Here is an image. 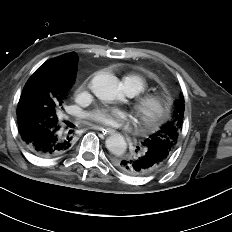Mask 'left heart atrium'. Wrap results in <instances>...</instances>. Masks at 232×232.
I'll return each instance as SVG.
<instances>
[{
  "instance_id": "obj_1",
  "label": "left heart atrium",
  "mask_w": 232,
  "mask_h": 232,
  "mask_svg": "<svg viewBox=\"0 0 232 232\" xmlns=\"http://www.w3.org/2000/svg\"><path fill=\"white\" fill-rule=\"evenodd\" d=\"M91 118L104 126L117 127L128 120L125 112L119 109L103 108L92 113Z\"/></svg>"
}]
</instances>
